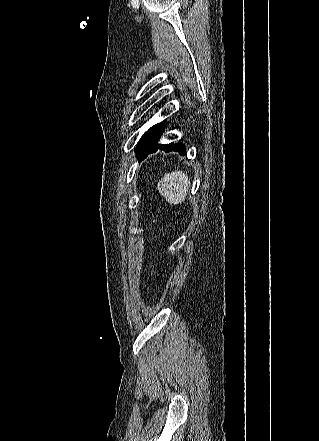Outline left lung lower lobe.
<instances>
[{"mask_svg": "<svg viewBox=\"0 0 319 441\" xmlns=\"http://www.w3.org/2000/svg\"><path fill=\"white\" fill-rule=\"evenodd\" d=\"M165 131V125L161 127V129L156 133V135L153 137L149 147L147 150L142 154L140 160H142L144 157L147 156L149 153L155 152L157 148H160L161 150H165L167 152H180V154H186L185 146L184 144L177 143V144H157V141L161 137L162 133Z\"/></svg>", "mask_w": 319, "mask_h": 441, "instance_id": "1", "label": "left lung lower lobe"}]
</instances>
